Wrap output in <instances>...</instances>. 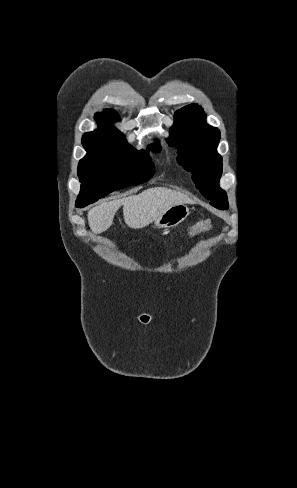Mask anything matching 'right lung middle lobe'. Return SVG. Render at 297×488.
Masks as SVG:
<instances>
[{
    "instance_id": "1",
    "label": "right lung middle lobe",
    "mask_w": 297,
    "mask_h": 488,
    "mask_svg": "<svg viewBox=\"0 0 297 488\" xmlns=\"http://www.w3.org/2000/svg\"><path fill=\"white\" fill-rule=\"evenodd\" d=\"M80 160L78 177L81 189L76 207L82 208L118 189L148 181L154 174V164L147 151L133 149L125 138L103 140ZM148 150L160 152L153 143Z\"/></svg>"
}]
</instances>
